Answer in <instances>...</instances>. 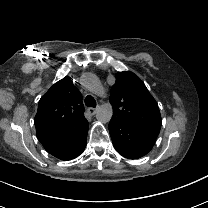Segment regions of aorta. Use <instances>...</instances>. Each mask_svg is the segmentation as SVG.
Wrapping results in <instances>:
<instances>
[{
  "label": "aorta",
  "mask_w": 208,
  "mask_h": 208,
  "mask_svg": "<svg viewBox=\"0 0 208 208\" xmlns=\"http://www.w3.org/2000/svg\"><path fill=\"white\" fill-rule=\"evenodd\" d=\"M113 115V107L111 104L104 103L97 108L96 118L103 122H109Z\"/></svg>",
  "instance_id": "1"
}]
</instances>
